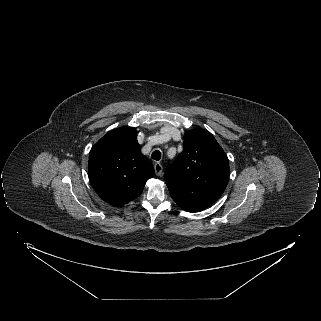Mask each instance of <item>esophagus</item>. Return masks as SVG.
Masks as SVG:
<instances>
[{"label":"esophagus","mask_w":321,"mask_h":321,"mask_svg":"<svg viewBox=\"0 0 321 321\" xmlns=\"http://www.w3.org/2000/svg\"><path fill=\"white\" fill-rule=\"evenodd\" d=\"M154 170H155V174L157 176H160L162 174L163 167L159 162H157V163L154 164Z\"/></svg>","instance_id":"34e87169"}]
</instances>
